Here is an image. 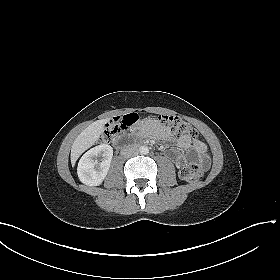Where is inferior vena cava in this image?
Segmentation results:
<instances>
[{
    "label": "inferior vena cava",
    "mask_w": 280,
    "mask_h": 280,
    "mask_svg": "<svg viewBox=\"0 0 280 280\" xmlns=\"http://www.w3.org/2000/svg\"><path fill=\"white\" fill-rule=\"evenodd\" d=\"M139 153L138 148L132 145L126 146L122 149L121 155L124 157H131Z\"/></svg>",
    "instance_id": "obj_1"
}]
</instances>
